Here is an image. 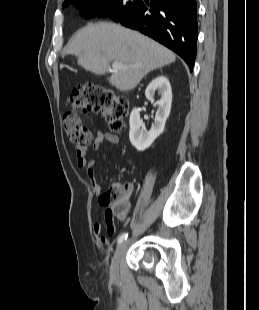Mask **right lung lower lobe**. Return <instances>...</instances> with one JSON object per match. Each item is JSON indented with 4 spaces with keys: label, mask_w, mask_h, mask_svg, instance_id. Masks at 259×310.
Wrapping results in <instances>:
<instances>
[{
    "label": "right lung lower lobe",
    "mask_w": 259,
    "mask_h": 310,
    "mask_svg": "<svg viewBox=\"0 0 259 310\" xmlns=\"http://www.w3.org/2000/svg\"><path fill=\"white\" fill-rule=\"evenodd\" d=\"M150 5L137 6L119 22L139 30L181 56L192 71L197 30L196 0H150Z\"/></svg>",
    "instance_id": "obj_1"
}]
</instances>
